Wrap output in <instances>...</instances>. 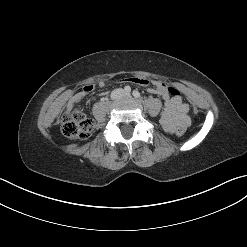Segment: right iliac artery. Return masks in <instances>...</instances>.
I'll use <instances>...</instances> for the list:
<instances>
[{"label": "right iliac artery", "instance_id": "obj_1", "mask_svg": "<svg viewBox=\"0 0 247 247\" xmlns=\"http://www.w3.org/2000/svg\"><path fill=\"white\" fill-rule=\"evenodd\" d=\"M124 91H125L126 93H130V92H131L130 86H125Z\"/></svg>", "mask_w": 247, "mask_h": 247}]
</instances>
